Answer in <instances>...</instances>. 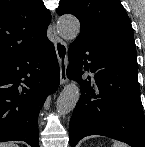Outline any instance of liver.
<instances>
[{
  "label": "liver",
  "mask_w": 145,
  "mask_h": 147,
  "mask_svg": "<svg viewBox=\"0 0 145 147\" xmlns=\"http://www.w3.org/2000/svg\"><path fill=\"white\" fill-rule=\"evenodd\" d=\"M0 147H18V145H16L13 142H10V143H0Z\"/></svg>",
  "instance_id": "1"
}]
</instances>
